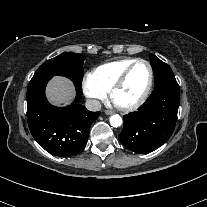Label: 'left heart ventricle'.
<instances>
[{
    "instance_id": "1",
    "label": "left heart ventricle",
    "mask_w": 207,
    "mask_h": 207,
    "mask_svg": "<svg viewBox=\"0 0 207 207\" xmlns=\"http://www.w3.org/2000/svg\"><path fill=\"white\" fill-rule=\"evenodd\" d=\"M149 80V71L145 64H137L128 75L122 88L115 94V101L127 105L138 100Z\"/></svg>"
}]
</instances>
